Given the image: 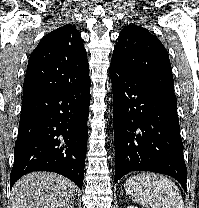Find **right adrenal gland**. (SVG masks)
<instances>
[{
    "instance_id": "1",
    "label": "right adrenal gland",
    "mask_w": 199,
    "mask_h": 208,
    "mask_svg": "<svg viewBox=\"0 0 199 208\" xmlns=\"http://www.w3.org/2000/svg\"><path fill=\"white\" fill-rule=\"evenodd\" d=\"M74 201H72L68 206H67V208H74Z\"/></svg>"
}]
</instances>
